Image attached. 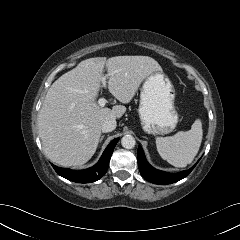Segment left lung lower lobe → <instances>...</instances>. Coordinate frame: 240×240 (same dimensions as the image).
Masks as SVG:
<instances>
[{
	"instance_id": "obj_1",
	"label": "left lung lower lobe",
	"mask_w": 240,
	"mask_h": 240,
	"mask_svg": "<svg viewBox=\"0 0 240 240\" xmlns=\"http://www.w3.org/2000/svg\"><path fill=\"white\" fill-rule=\"evenodd\" d=\"M196 165V164H195ZM195 165L186 171L179 173H167L153 168L146 160L144 152L138 148V167L143 178L155 184H171L177 182L190 174Z\"/></svg>"
}]
</instances>
